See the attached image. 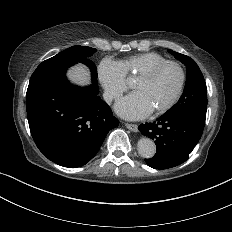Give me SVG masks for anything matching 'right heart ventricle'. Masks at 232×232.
<instances>
[{"label":"right heart ventricle","mask_w":232,"mask_h":232,"mask_svg":"<svg viewBox=\"0 0 232 232\" xmlns=\"http://www.w3.org/2000/svg\"><path fill=\"white\" fill-rule=\"evenodd\" d=\"M166 60L167 58L158 52L144 51L133 54L126 59L120 60L118 63L124 79L128 80L133 77L137 78L155 65Z\"/></svg>","instance_id":"e07e8e85"}]
</instances>
